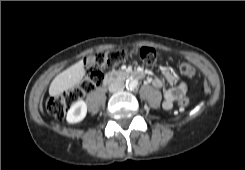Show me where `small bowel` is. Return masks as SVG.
<instances>
[{
	"label": "small bowel",
	"mask_w": 245,
	"mask_h": 170,
	"mask_svg": "<svg viewBox=\"0 0 245 170\" xmlns=\"http://www.w3.org/2000/svg\"><path fill=\"white\" fill-rule=\"evenodd\" d=\"M166 80L171 85L163 93V108L165 110H170L173 104L185 97L187 91V85L183 81L177 80L174 76L169 73L166 74ZM151 83L156 88H161L164 84L161 78H153Z\"/></svg>",
	"instance_id": "1"
}]
</instances>
